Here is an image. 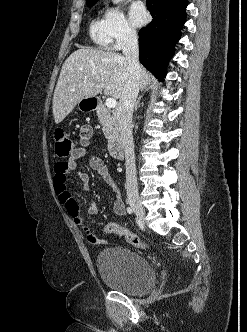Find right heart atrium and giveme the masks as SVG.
<instances>
[{"label":"right heart atrium","instance_id":"obj_1","mask_svg":"<svg viewBox=\"0 0 247 332\" xmlns=\"http://www.w3.org/2000/svg\"><path fill=\"white\" fill-rule=\"evenodd\" d=\"M105 19L108 33L115 49H120L136 39V30L127 20L122 10L114 7L107 8Z\"/></svg>","mask_w":247,"mask_h":332}]
</instances>
